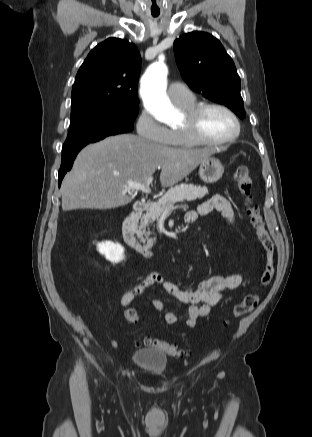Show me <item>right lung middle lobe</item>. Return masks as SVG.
I'll list each match as a JSON object with an SVG mask.
<instances>
[{"label": "right lung middle lobe", "instance_id": "obj_1", "mask_svg": "<svg viewBox=\"0 0 312 437\" xmlns=\"http://www.w3.org/2000/svg\"><path fill=\"white\" fill-rule=\"evenodd\" d=\"M138 104L88 103L71 108V123L62 153L106 136L132 131Z\"/></svg>", "mask_w": 312, "mask_h": 437}]
</instances>
